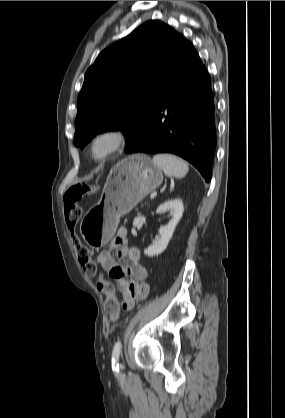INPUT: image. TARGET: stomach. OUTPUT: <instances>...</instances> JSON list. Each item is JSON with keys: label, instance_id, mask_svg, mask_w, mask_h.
<instances>
[{"label": "stomach", "instance_id": "stomach-1", "mask_svg": "<svg viewBox=\"0 0 285 418\" xmlns=\"http://www.w3.org/2000/svg\"><path fill=\"white\" fill-rule=\"evenodd\" d=\"M162 181V169L145 154H133L119 161L109 173L101 198L81 221L80 232L85 242L94 247L106 245L120 217L129 213Z\"/></svg>", "mask_w": 285, "mask_h": 418}]
</instances>
